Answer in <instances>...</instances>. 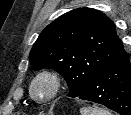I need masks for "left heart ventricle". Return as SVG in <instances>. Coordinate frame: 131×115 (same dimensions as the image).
<instances>
[{"instance_id": "b2bd125f", "label": "left heart ventricle", "mask_w": 131, "mask_h": 115, "mask_svg": "<svg viewBox=\"0 0 131 115\" xmlns=\"http://www.w3.org/2000/svg\"><path fill=\"white\" fill-rule=\"evenodd\" d=\"M35 92L38 97H46L50 92V84L47 80H40L35 86Z\"/></svg>"}]
</instances>
